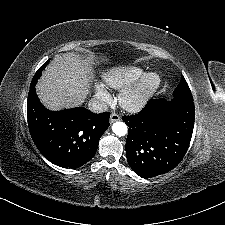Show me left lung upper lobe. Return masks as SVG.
<instances>
[{"label":"left lung upper lobe","instance_id":"obj_1","mask_svg":"<svg viewBox=\"0 0 225 225\" xmlns=\"http://www.w3.org/2000/svg\"><path fill=\"white\" fill-rule=\"evenodd\" d=\"M173 95L174 97H187V98L192 97L189 86L182 75H181V81L179 85L176 87V89L174 90Z\"/></svg>","mask_w":225,"mask_h":225}]
</instances>
